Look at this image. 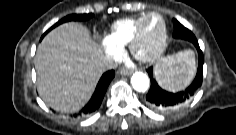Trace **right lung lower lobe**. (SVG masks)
<instances>
[{
  "label": "right lung lower lobe",
  "mask_w": 236,
  "mask_h": 135,
  "mask_svg": "<svg viewBox=\"0 0 236 135\" xmlns=\"http://www.w3.org/2000/svg\"><path fill=\"white\" fill-rule=\"evenodd\" d=\"M114 76H115V71L113 70L107 71L102 75L92 98L78 114H74L75 117L79 115L81 116V115L90 114L96 111L100 107L101 102L106 93L107 87L109 83L111 82V80L114 78Z\"/></svg>",
  "instance_id": "obj_1"
}]
</instances>
